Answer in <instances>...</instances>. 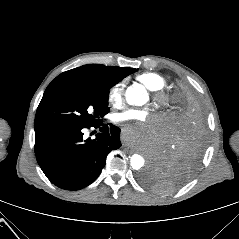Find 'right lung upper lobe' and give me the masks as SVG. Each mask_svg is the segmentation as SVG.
I'll use <instances>...</instances> for the list:
<instances>
[{
	"label": "right lung upper lobe",
	"instance_id": "cb5924a9",
	"mask_svg": "<svg viewBox=\"0 0 239 239\" xmlns=\"http://www.w3.org/2000/svg\"><path fill=\"white\" fill-rule=\"evenodd\" d=\"M137 69L128 67L105 66L88 64L63 72L57 76L47 89L64 84H100L119 82Z\"/></svg>",
	"mask_w": 239,
	"mask_h": 239
}]
</instances>
